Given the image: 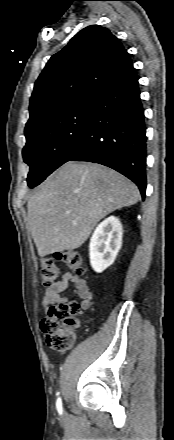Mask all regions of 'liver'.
I'll use <instances>...</instances> for the list:
<instances>
[{
  "label": "liver",
  "mask_w": 174,
  "mask_h": 440,
  "mask_svg": "<svg viewBox=\"0 0 174 440\" xmlns=\"http://www.w3.org/2000/svg\"><path fill=\"white\" fill-rule=\"evenodd\" d=\"M139 198L137 186L113 169L65 163L27 203L28 225L39 256L79 248L102 218Z\"/></svg>",
  "instance_id": "obj_1"
}]
</instances>
